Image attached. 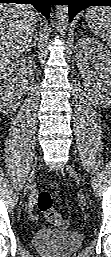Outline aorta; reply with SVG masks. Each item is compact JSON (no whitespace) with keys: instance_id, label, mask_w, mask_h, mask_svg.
<instances>
[{"instance_id":"762f6f07","label":"aorta","mask_w":111,"mask_h":257,"mask_svg":"<svg viewBox=\"0 0 111 257\" xmlns=\"http://www.w3.org/2000/svg\"><path fill=\"white\" fill-rule=\"evenodd\" d=\"M57 18L59 22L65 25L68 21V7L66 5H60L57 7Z\"/></svg>"}]
</instances>
